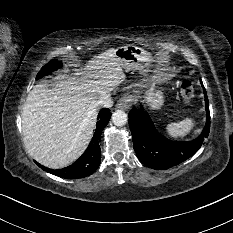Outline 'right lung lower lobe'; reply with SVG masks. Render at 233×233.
<instances>
[{
  "mask_svg": "<svg viewBox=\"0 0 233 233\" xmlns=\"http://www.w3.org/2000/svg\"><path fill=\"white\" fill-rule=\"evenodd\" d=\"M111 117V112L109 109H101L98 114V125L96 127V131L94 133L93 139L91 140L89 146L83 155L72 165L65 167L59 170H51L46 168L39 163L36 164L46 170L49 173L54 175L76 179L83 178L93 174L96 169L99 167L101 162V149H100V137L104 127L108 124Z\"/></svg>",
  "mask_w": 233,
  "mask_h": 233,
  "instance_id": "obj_1",
  "label": "right lung lower lobe"
}]
</instances>
